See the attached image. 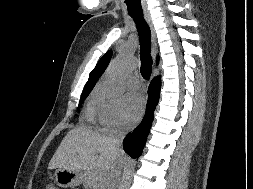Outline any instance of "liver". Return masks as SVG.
<instances>
[{
	"label": "liver",
	"mask_w": 253,
	"mask_h": 189,
	"mask_svg": "<svg viewBox=\"0 0 253 189\" xmlns=\"http://www.w3.org/2000/svg\"><path fill=\"white\" fill-rule=\"evenodd\" d=\"M124 151L118 153L111 144V138L102 136L90 129L77 127L69 131L50 160L49 169L63 168L96 172L104 180L111 168L117 163H124Z\"/></svg>",
	"instance_id": "obj_1"
}]
</instances>
